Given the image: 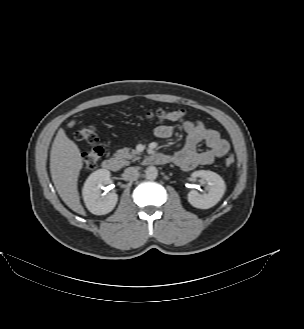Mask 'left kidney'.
I'll list each match as a JSON object with an SVG mask.
<instances>
[{"label":"left kidney","instance_id":"1","mask_svg":"<svg viewBox=\"0 0 304 329\" xmlns=\"http://www.w3.org/2000/svg\"><path fill=\"white\" fill-rule=\"evenodd\" d=\"M192 180L200 178L208 184L207 193L199 194L192 190L188 194V202L199 209H209L216 205L225 193L226 185L220 175L209 170H199L192 173Z\"/></svg>","mask_w":304,"mask_h":329}]
</instances>
